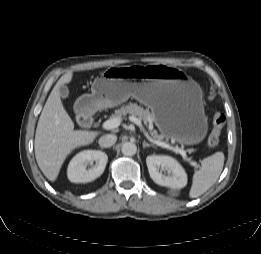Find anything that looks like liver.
Wrapping results in <instances>:
<instances>
[{
	"mask_svg": "<svg viewBox=\"0 0 261 254\" xmlns=\"http://www.w3.org/2000/svg\"><path fill=\"white\" fill-rule=\"evenodd\" d=\"M73 72L68 71L52 89L38 120L35 134V157L45 177L54 182L66 157L76 148L90 145L98 131L74 130V122L63 107L59 88L70 83Z\"/></svg>",
	"mask_w": 261,
	"mask_h": 254,
	"instance_id": "liver-1",
	"label": "liver"
}]
</instances>
